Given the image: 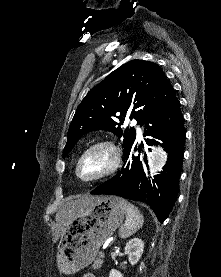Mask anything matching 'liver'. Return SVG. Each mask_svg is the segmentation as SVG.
Listing matches in <instances>:
<instances>
[{
    "label": "liver",
    "instance_id": "liver-1",
    "mask_svg": "<svg viewBox=\"0 0 221 277\" xmlns=\"http://www.w3.org/2000/svg\"><path fill=\"white\" fill-rule=\"evenodd\" d=\"M98 196H84L77 200L67 202L56 214V228L53 233V242H56L65 232L72 218L83 208H86L99 200Z\"/></svg>",
    "mask_w": 221,
    "mask_h": 277
}]
</instances>
